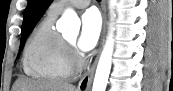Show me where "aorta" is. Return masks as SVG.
<instances>
[{"instance_id":"1","label":"aorta","mask_w":173,"mask_h":91,"mask_svg":"<svg viewBox=\"0 0 173 91\" xmlns=\"http://www.w3.org/2000/svg\"><path fill=\"white\" fill-rule=\"evenodd\" d=\"M117 4V0H109L110 5V15L111 22L109 27V32L107 40L100 56L98 66L95 73V78L93 82L92 91H105L108 77L111 70L112 64V54L114 49V8ZM80 28V20L73 10H67L59 23L57 24V29L62 32L69 31L70 34H77Z\"/></svg>"}]
</instances>
